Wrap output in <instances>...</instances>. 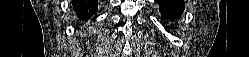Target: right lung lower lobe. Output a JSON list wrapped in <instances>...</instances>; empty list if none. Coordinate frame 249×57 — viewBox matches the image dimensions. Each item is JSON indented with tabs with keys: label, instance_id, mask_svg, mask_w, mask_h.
I'll return each instance as SVG.
<instances>
[{
	"label": "right lung lower lobe",
	"instance_id": "1",
	"mask_svg": "<svg viewBox=\"0 0 249 57\" xmlns=\"http://www.w3.org/2000/svg\"><path fill=\"white\" fill-rule=\"evenodd\" d=\"M73 6L79 18L88 20L93 14H97V1L96 0H76Z\"/></svg>",
	"mask_w": 249,
	"mask_h": 57
}]
</instances>
